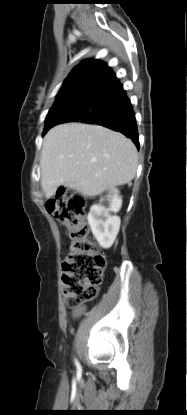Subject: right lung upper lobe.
<instances>
[{"label":"right lung upper lobe","mask_w":187,"mask_h":415,"mask_svg":"<svg viewBox=\"0 0 187 415\" xmlns=\"http://www.w3.org/2000/svg\"><path fill=\"white\" fill-rule=\"evenodd\" d=\"M104 65L106 64L99 60H94V59H87V60L82 61L78 66H76L72 70V72L69 74L67 79L64 81L63 86L61 87L58 93L55 103L66 98L68 93L72 90V88L75 86V84L79 80L89 75L90 73L96 71L97 69L103 67ZM61 105L62 104H59L53 111H55Z\"/></svg>","instance_id":"right-lung-upper-lobe-1"}]
</instances>
